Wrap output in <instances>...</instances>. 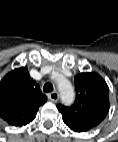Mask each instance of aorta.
Instances as JSON below:
<instances>
[{
  "label": "aorta",
  "instance_id": "1",
  "mask_svg": "<svg viewBox=\"0 0 118 142\" xmlns=\"http://www.w3.org/2000/svg\"><path fill=\"white\" fill-rule=\"evenodd\" d=\"M56 82L61 95L62 103L65 105L72 104L75 99V92L70 81L62 75H57Z\"/></svg>",
  "mask_w": 118,
  "mask_h": 142
}]
</instances>
